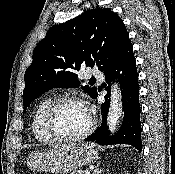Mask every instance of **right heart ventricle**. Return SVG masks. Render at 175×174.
I'll return each mask as SVG.
<instances>
[{"label": "right heart ventricle", "instance_id": "1", "mask_svg": "<svg viewBox=\"0 0 175 174\" xmlns=\"http://www.w3.org/2000/svg\"><path fill=\"white\" fill-rule=\"evenodd\" d=\"M56 100L55 96H47L35 108L31 128L35 139L40 143L47 144L55 141L46 131L44 121L48 109Z\"/></svg>", "mask_w": 175, "mask_h": 174}]
</instances>
